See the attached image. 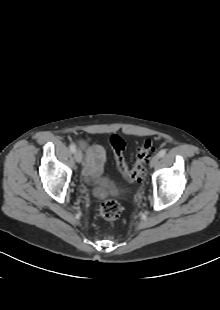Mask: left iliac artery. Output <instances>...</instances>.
<instances>
[{
    "mask_svg": "<svg viewBox=\"0 0 220 310\" xmlns=\"http://www.w3.org/2000/svg\"><path fill=\"white\" fill-rule=\"evenodd\" d=\"M165 154H166V150L165 149L160 150L159 153H158L159 157H164Z\"/></svg>",
    "mask_w": 220,
    "mask_h": 310,
    "instance_id": "left-iliac-artery-1",
    "label": "left iliac artery"
}]
</instances>
